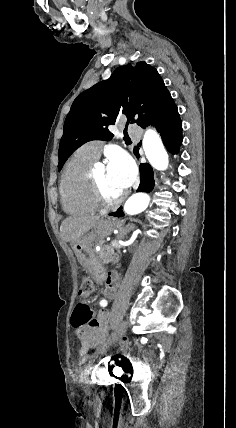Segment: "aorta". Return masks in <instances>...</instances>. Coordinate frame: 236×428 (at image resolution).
I'll return each instance as SVG.
<instances>
[{"instance_id":"1","label":"aorta","mask_w":236,"mask_h":428,"mask_svg":"<svg viewBox=\"0 0 236 428\" xmlns=\"http://www.w3.org/2000/svg\"><path fill=\"white\" fill-rule=\"evenodd\" d=\"M143 149L150 165L157 170H166L169 164L168 154L163 146L159 134L152 129L145 132ZM150 202L148 194L139 192L133 194L125 203L124 211L128 215H135L147 209Z\"/></svg>"}]
</instances>
